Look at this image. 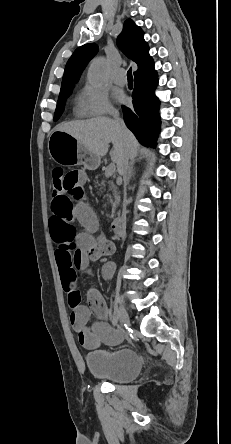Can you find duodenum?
<instances>
[{
	"instance_id": "1",
	"label": "duodenum",
	"mask_w": 231,
	"mask_h": 444,
	"mask_svg": "<svg viewBox=\"0 0 231 444\" xmlns=\"http://www.w3.org/2000/svg\"><path fill=\"white\" fill-rule=\"evenodd\" d=\"M121 220L122 219L120 217H118L111 222V231L116 236H123L122 233L124 232V230L120 229V226H121L120 223L122 222Z\"/></svg>"
}]
</instances>
